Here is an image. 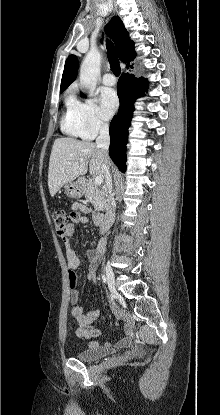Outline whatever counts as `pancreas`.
<instances>
[{
    "label": "pancreas",
    "instance_id": "cf45deb5",
    "mask_svg": "<svg viewBox=\"0 0 220 415\" xmlns=\"http://www.w3.org/2000/svg\"><path fill=\"white\" fill-rule=\"evenodd\" d=\"M85 192V198L93 204L95 210L102 211L107 208L108 191L105 186L98 187L94 182H87Z\"/></svg>",
    "mask_w": 220,
    "mask_h": 415
}]
</instances>
